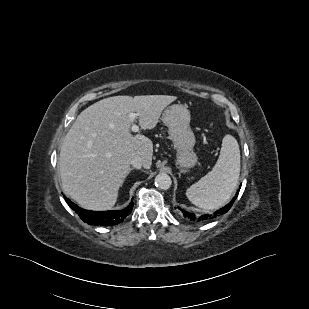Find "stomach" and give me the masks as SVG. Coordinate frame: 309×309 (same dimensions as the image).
I'll return each mask as SVG.
<instances>
[{
  "label": "stomach",
  "instance_id": "obj_1",
  "mask_svg": "<svg viewBox=\"0 0 309 309\" xmlns=\"http://www.w3.org/2000/svg\"><path fill=\"white\" fill-rule=\"evenodd\" d=\"M162 121L168 127L170 140L177 151V164L183 169L194 167L198 160L194 152L196 139L190 127L187 107L181 104L169 106L163 113Z\"/></svg>",
  "mask_w": 309,
  "mask_h": 309
}]
</instances>
